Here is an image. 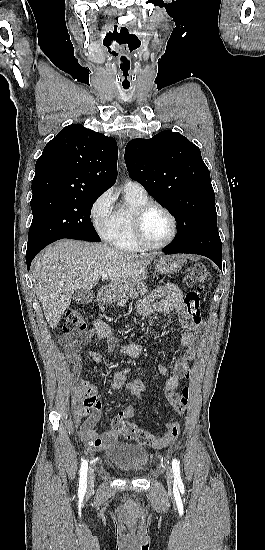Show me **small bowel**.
<instances>
[{"label":"small bowel","instance_id":"c3829d8e","mask_svg":"<svg viewBox=\"0 0 265 550\" xmlns=\"http://www.w3.org/2000/svg\"><path fill=\"white\" fill-rule=\"evenodd\" d=\"M136 308L142 318H148L154 314L175 312L185 329L178 339V343L185 347L184 354L176 359L171 367L163 364L158 367L159 373L165 378L163 388V395L165 396L167 393L176 391L179 381L190 370V362L197 357L203 347V337L199 334L201 323H195L185 314L182 292L172 283L157 288L148 296L140 299L137 302ZM94 337L106 340L110 345H115L118 342L110 327L102 320L95 321L92 328L86 332L67 334L60 338L65 349L66 358L73 367L77 366L80 362L81 347L87 345ZM143 350L144 347L140 343H128L121 347L119 354L129 358H140L143 355ZM87 355L95 363L101 364L104 361L103 356L97 351L88 350ZM110 386L112 389L125 387L139 401H142V395L146 390L145 384L141 379L129 380L128 368L115 370ZM93 387L96 388L95 385ZM100 409L101 405L93 418L83 424L79 431L81 440L92 451H99L108 447L117 437V434L112 431L100 433L95 429ZM118 415L124 419L131 418L135 415V409L132 405H127Z\"/></svg>","mask_w":265,"mask_h":550}]
</instances>
